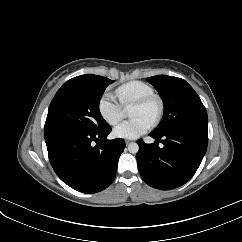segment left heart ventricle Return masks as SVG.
Returning a JSON list of instances; mask_svg holds the SVG:
<instances>
[{
  "instance_id": "1",
  "label": "left heart ventricle",
  "mask_w": 242,
  "mask_h": 242,
  "mask_svg": "<svg viewBox=\"0 0 242 242\" xmlns=\"http://www.w3.org/2000/svg\"><path fill=\"white\" fill-rule=\"evenodd\" d=\"M155 115V107L154 105H149L147 107H136L133 106L130 111V116L132 118L142 117L149 122H152Z\"/></svg>"
}]
</instances>
